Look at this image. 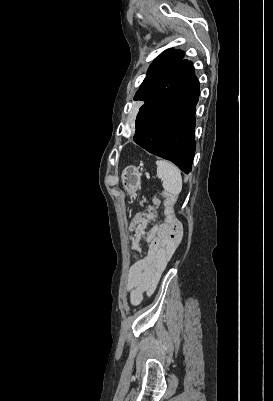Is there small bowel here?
I'll return each mask as SVG.
<instances>
[{
	"label": "small bowel",
	"instance_id": "obj_1",
	"mask_svg": "<svg viewBox=\"0 0 273 401\" xmlns=\"http://www.w3.org/2000/svg\"><path fill=\"white\" fill-rule=\"evenodd\" d=\"M152 221L150 215L130 217L132 248L137 249L143 242L148 244L144 255L130 267L128 272L125 292L132 305L140 304L144 295H151L154 292L178 243V241H153L154 229L162 226L153 224V227L146 231L147 224Z\"/></svg>",
	"mask_w": 273,
	"mask_h": 401
}]
</instances>
